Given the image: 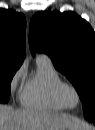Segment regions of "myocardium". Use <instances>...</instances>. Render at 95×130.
<instances>
[{
    "mask_svg": "<svg viewBox=\"0 0 95 130\" xmlns=\"http://www.w3.org/2000/svg\"><path fill=\"white\" fill-rule=\"evenodd\" d=\"M67 89L73 90L77 95L78 102L75 106L68 105L65 100L64 94ZM56 95L60 103L64 106V108L69 109V110L78 108L82 102V96H81L80 90L74 84L70 82L62 81L56 88Z\"/></svg>",
    "mask_w": 95,
    "mask_h": 130,
    "instance_id": "1",
    "label": "myocardium"
}]
</instances>
